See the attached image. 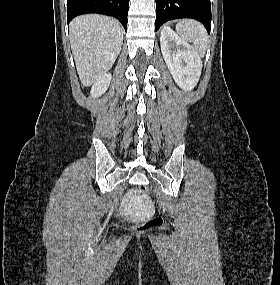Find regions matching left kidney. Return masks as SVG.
<instances>
[{"label":"left kidney","instance_id":"5707ae66","mask_svg":"<svg viewBox=\"0 0 280 285\" xmlns=\"http://www.w3.org/2000/svg\"><path fill=\"white\" fill-rule=\"evenodd\" d=\"M160 45L175 82L183 90H192L197 85L202 70L197 52L168 26L161 30Z\"/></svg>","mask_w":280,"mask_h":285}]
</instances>
